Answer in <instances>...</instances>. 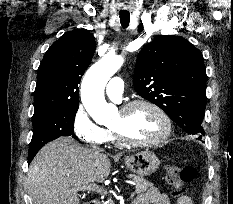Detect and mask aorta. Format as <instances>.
<instances>
[{
  "label": "aorta",
  "instance_id": "1",
  "mask_svg": "<svg viewBox=\"0 0 233 204\" xmlns=\"http://www.w3.org/2000/svg\"><path fill=\"white\" fill-rule=\"evenodd\" d=\"M122 64L121 56L105 55L88 69L83 78L81 100L89 115L98 124L106 125L117 112L115 105L106 102L104 89Z\"/></svg>",
  "mask_w": 233,
  "mask_h": 204
}]
</instances>
